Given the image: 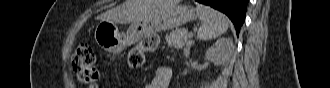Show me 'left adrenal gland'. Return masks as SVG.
<instances>
[{
    "label": "left adrenal gland",
    "instance_id": "obj_1",
    "mask_svg": "<svg viewBox=\"0 0 330 88\" xmlns=\"http://www.w3.org/2000/svg\"><path fill=\"white\" fill-rule=\"evenodd\" d=\"M193 44H194V41L191 40L190 44L188 45L187 49L185 50V55H188V54H189V52H190V48H191V46H192Z\"/></svg>",
    "mask_w": 330,
    "mask_h": 88
}]
</instances>
